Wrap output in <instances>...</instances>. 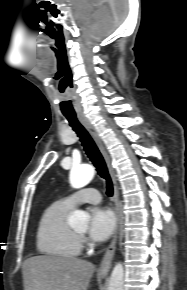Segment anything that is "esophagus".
<instances>
[{"instance_id":"esophagus-1","label":"esophagus","mask_w":187,"mask_h":290,"mask_svg":"<svg viewBox=\"0 0 187 290\" xmlns=\"http://www.w3.org/2000/svg\"><path fill=\"white\" fill-rule=\"evenodd\" d=\"M78 119L81 122V124L85 127V129L89 132V134L91 135V137L93 138V140L95 141V143L97 144L98 148L100 149L112 182H113V189H114V195H113V201L115 204V214H116V228H115V232H114V236L113 239L109 245V247L107 248L105 255L101 261V264L98 268V274L100 275H106L110 268H111V264H112V260H113V256H114V252L116 249V243H117V238H118V233H119V224H120V203H119V193H118V185H117V178H116V173L115 170L112 166V162H111V158L108 154V152L106 151L104 144L99 136V134L97 133L96 129L94 128V126L89 122V120L84 116V114L79 113L78 115Z\"/></svg>"}]
</instances>
